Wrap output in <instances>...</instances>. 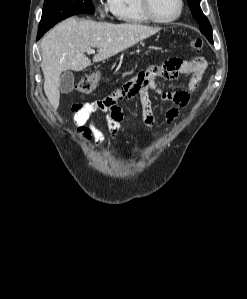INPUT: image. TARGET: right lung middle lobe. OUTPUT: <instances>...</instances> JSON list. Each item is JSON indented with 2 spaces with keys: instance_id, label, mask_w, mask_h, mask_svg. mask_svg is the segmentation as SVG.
Instances as JSON below:
<instances>
[{
  "instance_id": "obj_1",
  "label": "right lung middle lobe",
  "mask_w": 247,
  "mask_h": 299,
  "mask_svg": "<svg viewBox=\"0 0 247 299\" xmlns=\"http://www.w3.org/2000/svg\"><path fill=\"white\" fill-rule=\"evenodd\" d=\"M80 13H94L91 0H45L37 37L59 21Z\"/></svg>"
}]
</instances>
